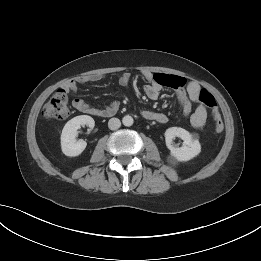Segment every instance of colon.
I'll return each instance as SVG.
<instances>
[{"label":"colon","mask_w":261,"mask_h":261,"mask_svg":"<svg viewBox=\"0 0 261 261\" xmlns=\"http://www.w3.org/2000/svg\"><path fill=\"white\" fill-rule=\"evenodd\" d=\"M200 102L212 109L215 129L217 132H221L224 129L222 118L216 108V102L214 97L207 91L201 90ZM69 115V109L67 105V96L64 90H58L53 94L51 99L45 104L43 108V116L48 119L63 120Z\"/></svg>","instance_id":"obj_1"}]
</instances>
